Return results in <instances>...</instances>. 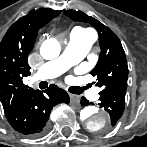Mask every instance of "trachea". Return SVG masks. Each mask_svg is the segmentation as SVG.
I'll list each match as a JSON object with an SVG mask.
<instances>
[{
  "mask_svg": "<svg viewBox=\"0 0 147 147\" xmlns=\"http://www.w3.org/2000/svg\"><path fill=\"white\" fill-rule=\"evenodd\" d=\"M90 86L89 85H86L85 87H70L69 88V91L71 93H74V94H82L84 92V90L88 89Z\"/></svg>",
  "mask_w": 147,
  "mask_h": 147,
  "instance_id": "1",
  "label": "trachea"
}]
</instances>
